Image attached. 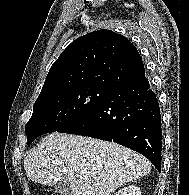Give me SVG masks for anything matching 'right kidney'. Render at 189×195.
Instances as JSON below:
<instances>
[{
  "label": "right kidney",
  "instance_id": "right-kidney-1",
  "mask_svg": "<svg viewBox=\"0 0 189 195\" xmlns=\"http://www.w3.org/2000/svg\"><path fill=\"white\" fill-rule=\"evenodd\" d=\"M114 195H141V190L135 185H129L125 188L120 189Z\"/></svg>",
  "mask_w": 189,
  "mask_h": 195
}]
</instances>
